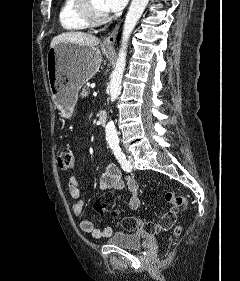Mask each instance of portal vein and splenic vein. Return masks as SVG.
I'll list each match as a JSON object with an SVG mask.
<instances>
[{"label":"portal vein and splenic vein","instance_id":"18ae733b","mask_svg":"<svg viewBox=\"0 0 240 281\" xmlns=\"http://www.w3.org/2000/svg\"><path fill=\"white\" fill-rule=\"evenodd\" d=\"M94 87H95V84H92V85H91V88H94Z\"/></svg>","mask_w":240,"mask_h":281}]
</instances>
